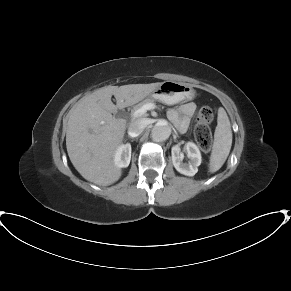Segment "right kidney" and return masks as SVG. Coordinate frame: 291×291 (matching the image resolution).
Returning a JSON list of instances; mask_svg holds the SVG:
<instances>
[{
  "label": "right kidney",
  "mask_w": 291,
  "mask_h": 291,
  "mask_svg": "<svg viewBox=\"0 0 291 291\" xmlns=\"http://www.w3.org/2000/svg\"><path fill=\"white\" fill-rule=\"evenodd\" d=\"M131 160V145L129 143L120 145L114 155V163L118 168H126Z\"/></svg>",
  "instance_id": "obj_1"
}]
</instances>
